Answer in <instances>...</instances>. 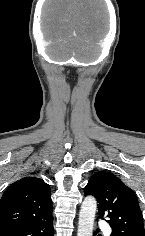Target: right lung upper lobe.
I'll use <instances>...</instances> for the list:
<instances>
[{"mask_svg":"<svg viewBox=\"0 0 145 236\" xmlns=\"http://www.w3.org/2000/svg\"><path fill=\"white\" fill-rule=\"evenodd\" d=\"M50 187L42 179L24 177L0 199V229L40 221L52 213Z\"/></svg>","mask_w":145,"mask_h":236,"instance_id":"obj_1","label":"right lung upper lobe"}]
</instances>
